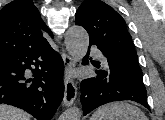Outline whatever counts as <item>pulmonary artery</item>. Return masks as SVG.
I'll return each mask as SVG.
<instances>
[{
    "mask_svg": "<svg viewBox=\"0 0 165 120\" xmlns=\"http://www.w3.org/2000/svg\"><path fill=\"white\" fill-rule=\"evenodd\" d=\"M92 53H93L96 57H99V58L102 57V54H101L100 51H98L97 49H92Z\"/></svg>",
    "mask_w": 165,
    "mask_h": 120,
    "instance_id": "pulmonary-artery-1",
    "label": "pulmonary artery"
}]
</instances>
